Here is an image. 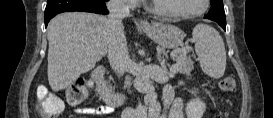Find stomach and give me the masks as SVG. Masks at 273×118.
I'll list each match as a JSON object with an SVG mask.
<instances>
[{"instance_id":"1","label":"stomach","mask_w":273,"mask_h":118,"mask_svg":"<svg viewBox=\"0 0 273 118\" xmlns=\"http://www.w3.org/2000/svg\"><path fill=\"white\" fill-rule=\"evenodd\" d=\"M143 30L158 45L169 49L178 47L185 38V33L174 25L153 24Z\"/></svg>"}]
</instances>
